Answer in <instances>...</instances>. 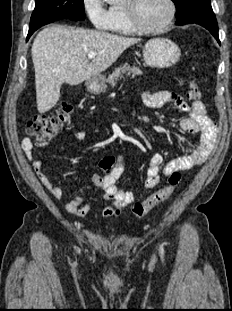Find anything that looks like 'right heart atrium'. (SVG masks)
Returning <instances> with one entry per match:
<instances>
[{
    "mask_svg": "<svg viewBox=\"0 0 232 311\" xmlns=\"http://www.w3.org/2000/svg\"><path fill=\"white\" fill-rule=\"evenodd\" d=\"M105 0H82V5L95 30L104 31L110 27L112 16Z\"/></svg>",
    "mask_w": 232,
    "mask_h": 311,
    "instance_id": "d8ad5b80",
    "label": "right heart atrium"
}]
</instances>
